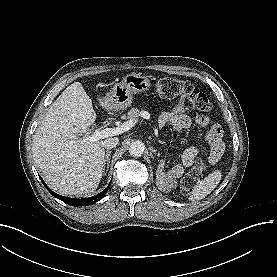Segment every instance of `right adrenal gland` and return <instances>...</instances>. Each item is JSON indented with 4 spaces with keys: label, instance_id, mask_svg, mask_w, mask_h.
Returning a JSON list of instances; mask_svg holds the SVG:
<instances>
[{
    "label": "right adrenal gland",
    "instance_id": "1",
    "mask_svg": "<svg viewBox=\"0 0 277 277\" xmlns=\"http://www.w3.org/2000/svg\"><path fill=\"white\" fill-rule=\"evenodd\" d=\"M110 154H111V151L107 150L105 154V160H104V167L106 166L107 169L109 168Z\"/></svg>",
    "mask_w": 277,
    "mask_h": 277
}]
</instances>
